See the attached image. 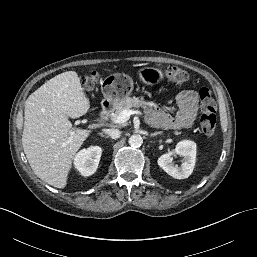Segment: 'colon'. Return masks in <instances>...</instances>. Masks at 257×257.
I'll use <instances>...</instances> for the list:
<instances>
[{"label": "colon", "instance_id": "colon-1", "mask_svg": "<svg viewBox=\"0 0 257 257\" xmlns=\"http://www.w3.org/2000/svg\"><path fill=\"white\" fill-rule=\"evenodd\" d=\"M165 76L168 81L177 85L183 84L189 80V74L179 67H169L165 70ZM98 78L99 75L96 72H92L84 78V87L88 90L92 89ZM199 97L201 102V129L206 135H212L217 122L215 102L207 88L200 89Z\"/></svg>", "mask_w": 257, "mask_h": 257}]
</instances>
